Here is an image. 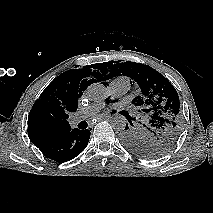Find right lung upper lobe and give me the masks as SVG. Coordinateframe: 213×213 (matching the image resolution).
Masks as SVG:
<instances>
[{
  "instance_id": "right-lung-upper-lobe-1",
  "label": "right lung upper lobe",
  "mask_w": 213,
  "mask_h": 213,
  "mask_svg": "<svg viewBox=\"0 0 213 213\" xmlns=\"http://www.w3.org/2000/svg\"><path fill=\"white\" fill-rule=\"evenodd\" d=\"M96 64L82 69H71L60 74L41 93L28 116V136L33 142L69 133V112L78 108V98L92 83L99 82L103 74Z\"/></svg>"
}]
</instances>
